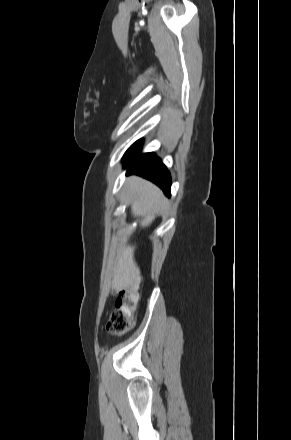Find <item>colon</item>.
<instances>
[{
	"instance_id": "5ec220e1",
	"label": "colon",
	"mask_w": 291,
	"mask_h": 440,
	"mask_svg": "<svg viewBox=\"0 0 291 440\" xmlns=\"http://www.w3.org/2000/svg\"><path fill=\"white\" fill-rule=\"evenodd\" d=\"M139 298V287L136 284L129 285L121 290L117 298V307L111 313L107 330L116 336H122L133 326L134 316Z\"/></svg>"
}]
</instances>
